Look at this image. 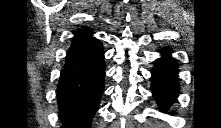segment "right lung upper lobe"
Returning <instances> with one entry per match:
<instances>
[{
  "mask_svg": "<svg viewBox=\"0 0 221 128\" xmlns=\"http://www.w3.org/2000/svg\"><path fill=\"white\" fill-rule=\"evenodd\" d=\"M91 35H92V32L89 29L84 28L82 30H79L75 34V37L73 38L72 42H77V41L85 40L87 38L92 37Z\"/></svg>",
  "mask_w": 221,
  "mask_h": 128,
  "instance_id": "1",
  "label": "right lung upper lobe"
}]
</instances>
